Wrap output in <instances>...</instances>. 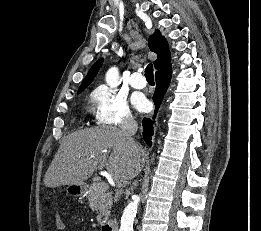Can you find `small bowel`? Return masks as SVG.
I'll return each mask as SVG.
<instances>
[{
    "label": "small bowel",
    "instance_id": "c3829d8e",
    "mask_svg": "<svg viewBox=\"0 0 261 231\" xmlns=\"http://www.w3.org/2000/svg\"><path fill=\"white\" fill-rule=\"evenodd\" d=\"M55 224L59 231H65L66 226H65L63 219L60 216H57L55 218Z\"/></svg>",
    "mask_w": 261,
    "mask_h": 231
}]
</instances>
